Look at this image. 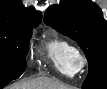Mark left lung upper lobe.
Here are the masks:
<instances>
[{
	"label": "left lung upper lobe",
	"mask_w": 107,
	"mask_h": 89,
	"mask_svg": "<svg viewBox=\"0 0 107 89\" xmlns=\"http://www.w3.org/2000/svg\"><path fill=\"white\" fill-rule=\"evenodd\" d=\"M45 22L75 40L89 62V74L82 87L107 83V23L101 9L91 0H61L50 6Z\"/></svg>",
	"instance_id": "obj_1"
}]
</instances>
